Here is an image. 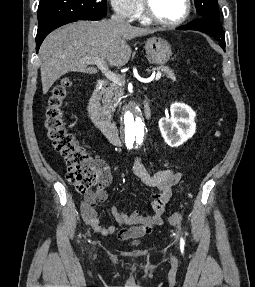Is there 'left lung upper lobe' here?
Here are the masks:
<instances>
[{
  "instance_id": "5c2ea615",
  "label": "left lung upper lobe",
  "mask_w": 255,
  "mask_h": 287,
  "mask_svg": "<svg viewBox=\"0 0 255 287\" xmlns=\"http://www.w3.org/2000/svg\"><path fill=\"white\" fill-rule=\"evenodd\" d=\"M194 2L200 17L219 21L218 0H194Z\"/></svg>"
}]
</instances>
